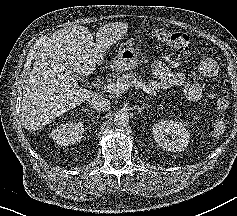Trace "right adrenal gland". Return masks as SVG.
Here are the masks:
<instances>
[{"mask_svg": "<svg viewBox=\"0 0 237 216\" xmlns=\"http://www.w3.org/2000/svg\"><path fill=\"white\" fill-rule=\"evenodd\" d=\"M89 113H92V110H87ZM83 112H86V110H84ZM95 114V112H93Z\"/></svg>", "mask_w": 237, "mask_h": 216, "instance_id": "right-adrenal-gland-1", "label": "right adrenal gland"}]
</instances>
